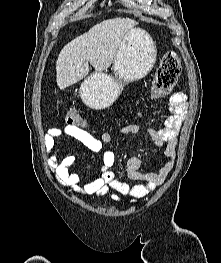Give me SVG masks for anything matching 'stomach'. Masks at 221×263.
<instances>
[{
	"mask_svg": "<svg viewBox=\"0 0 221 263\" xmlns=\"http://www.w3.org/2000/svg\"><path fill=\"white\" fill-rule=\"evenodd\" d=\"M156 56V45L144 30L128 31L114 59L115 78L103 72L89 75L80 86L83 102L95 110L110 107L124 85L144 78L152 70Z\"/></svg>",
	"mask_w": 221,
	"mask_h": 263,
	"instance_id": "obj_1",
	"label": "stomach"
}]
</instances>
